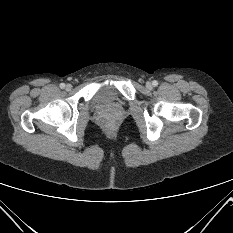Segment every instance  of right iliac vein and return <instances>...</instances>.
Returning a JSON list of instances; mask_svg holds the SVG:
<instances>
[{
	"label": "right iliac vein",
	"instance_id": "obj_1",
	"mask_svg": "<svg viewBox=\"0 0 233 233\" xmlns=\"http://www.w3.org/2000/svg\"><path fill=\"white\" fill-rule=\"evenodd\" d=\"M71 89H72V85H71V84H67V85H66V90H67V91H70Z\"/></svg>",
	"mask_w": 233,
	"mask_h": 233
}]
</instances>
